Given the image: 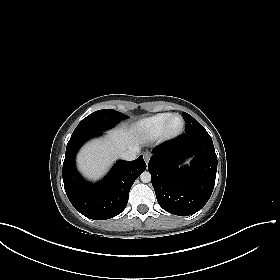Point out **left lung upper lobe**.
I'll return each mask as SVG.
<instances>
[{
	"label": "left lung upper lobe",
	"mask_w": 280,
	"mask_h": 280,
	"mask_svg": "<svg viewBox=\"0 0 280 280\" xmlns=\"http://www.w3.org/2000/svg\"><path fill=\"white\" fill-rule=\"evenodd\" d=\"M182 115L186 123L185 134L207 132L205 128L198 121H196L192 116H190L185 112H182Z\"/></svg>",
	"instance_id": "obj_1"
}]
</instances>
